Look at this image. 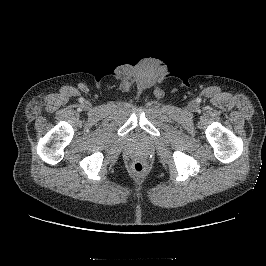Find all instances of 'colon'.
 <instances>
[{
	"label": "colon",
	"instance_id": "1",
	"mask_svg": "<svg viewBox=\"0 0 266 266\" xmlns=\"http://www.w3.org/2000/svg\"><path fill=\"white\" fill-rule=\"evenodd\" d=\"M131 170L135 175L142 176L145 174L147 166L143 161L136 160L132 163Z\"/></svg>",
	"mask_w": 266,
	"mask_h": 266
}]
</instances>
